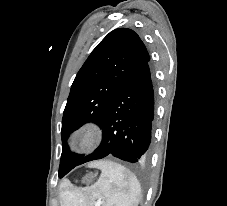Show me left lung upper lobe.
<instances>
[{"label": "left lung upper lobe", "mask_w": 227, "mask_h": 206, "mask_svg": "<svg viewBox=\"0 0 227 206\" xmlns=\"http://www.w3.org/2000/svg\"><path fill=\"white\" fill-rule=\"evenodd\" d=\"M149 60L142 40L127 28L113 30L95 47L75 77L63 113L59 173L74 168L84 156L70 152V133L86 122L101 127L121 86Z\"/></svg>", "instance_id": "left-lung-upper-lobe-1"}]
</instances>
